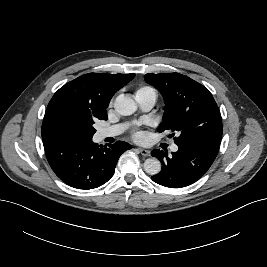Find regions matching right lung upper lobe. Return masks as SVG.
Listing matches in <instances>:
<instances>
[{"mask_svg": "<svg viewBox=\"0 0 267 267\" xmlns=\"http://www.w3.org/2000/svg\"><path fill=\"white\" fill-rule=\"evenodd\" d=\"M134 77L135 74L89 73L68 82L54 94L47 106L42 136L58 135L60 118L68 111L107 119L106 108L112 96Z\"/></svg>", "mask_w": 267, "mask_h": 267, "instance_id": "cb5924a9", "label": "right lung upper lobe"}]
</instances>
